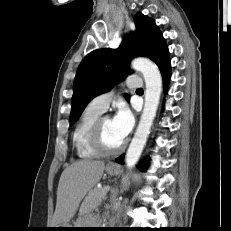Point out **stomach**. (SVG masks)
<instances>
[{
  "instance_id": "0dacf381",
  "label": "stomach",
  "mask_w": 231,
  "mask_h": 231,
  "mask_svg": "<svg viewBox=\"0 0 231 231\" xmlns=\"http://www.w3.org/2000/svg\"><path fill=\"white\" fill-rule=\"evenodd\" d=\"M106 172L111 176H117L121 173V168L117 165H108L106 167ZM84 226H85V221L83 219H81L74 226L70 225V224L60 225V226L54 227L57 229H53V230H55V231H68V230H73V229H69V228H87Z\"/></svg>"
}]
</instances>
